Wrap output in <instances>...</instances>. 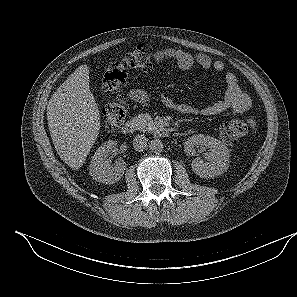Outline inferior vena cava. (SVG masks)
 <instances>
[{"label":"inferior vena cava","instance_id":"inferior-vena-cava-1","mask_svg":"<svg viewBox=\"0 0 297 297\" xmlns=\"http://www.w3.org/2000/svg\"><path fill=\"white\" fill-rule=\"evenodd\" d=\"M148 139L144 135H137L133 140V147L136 151H143L146 149Z\"/></svg>","mask_w":297,"mask_h":297}]
</instances>
